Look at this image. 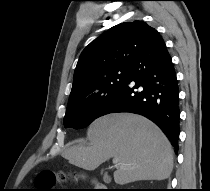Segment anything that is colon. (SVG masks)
Segmentation results:
<instances>
[{
	"label": "colon",
	"instance_id": "5ec220e1",
	"mask_svg": "<svg viewBox=\"0 0 210 191\" xmlns=\"http://www.w3.org/2000/svg\"><path fill=\"white\" fill-rule=\"evenodd\" d=\"M67 178V175L63 172H48L40 174L36 179V189L33 191H66L58 190L55 185Z\"/></svg>",
	"mask_w": 210,
	"mask_h": 191
}]
</instances>
